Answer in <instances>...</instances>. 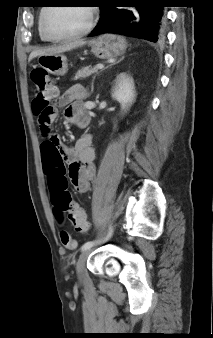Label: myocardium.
<instances>
[{
	"instance_id": "1",
	"label": "myocardium",
	"mask_w": 213,
	"mask_h": 338,
	"mask_svg": "<svg viewBox=\"0 0 213 338\" xmlns=\"http://www.w3.org/2000/svg\"><path fill=\"white\" fill-rule=\"evenodd\" d=\"M86 6H87L86 8L89 11V21L87 25L81 31L74 33V34L67 35V36L54 37L48 33L46 24H47V17L50 11L55 7V5H48L46 11L44 12L42 16L41 28H40L44 39H46L47 41H51V42H64V41L79 39L81 37H84L88 33H90V31L93 29L95 25L97 9L91 4H86Z\"/></svg>"
}]
</instances>
